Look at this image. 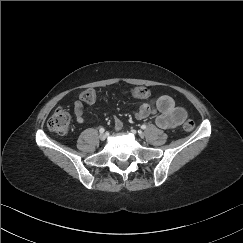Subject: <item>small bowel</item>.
Segmentation results:
<instances>
[{
  "label": "small bowel",
  "mask_w": 243,
  "mask_h": 243,
  "mask_svg": "<svg viewBox=\"0 0 243 243\" xmlns=\"http://www.w3.org/2000/svg\"><path fill=\"white\" fill-rule=\"evenodd\" d=\"M147 98L148 100L141 105L136 113V118L139 120L146 119L156 112H160L156 118V125L162 129H169L179 126L187 116L186 110L177 106L173 98L168 95L151 98L148 92ZM74 114L79 124L85 123L83 105L79 100L74 102ZM114 129L115 131H121L123 123L116 119L114 121Z\"/></svg>",
  "instance_id": "small-bowel-1"
}]
</instances>
